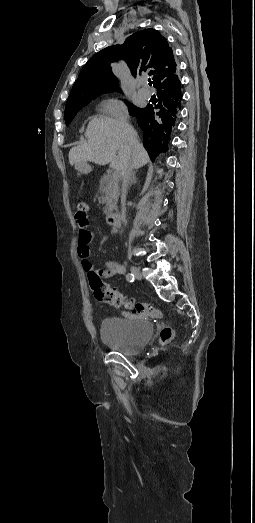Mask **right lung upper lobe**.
I'll return each mask as SVG.
<instances>
[{
  "label": "right lung upper lobe",
  "mask_w": 255,
  "mask_h": 523,
  "mask_svg": "<svg viewBox=\"0 0 255 523\" xmlns=\"http://www.w3.org/2000/svg\"><path fill=\"white\" fill-rule=\"evenodd\" d=\"M123 59L135 75H150L158 102L145 108L129 105L143 131L144 147L152 160L168 150L170 134L176 126L182 105L181 82L172 48L154 29L129 36L123 45L107 47L96 53L82 68L67 103L90 102L103 93L119 90L110 63Z\"/></svg>",
  "instance_id": "cb5924a9"
}]
</instances>
